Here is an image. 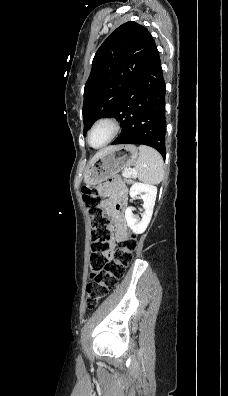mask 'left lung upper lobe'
I'll list each match as a JSON object with an SVG mask.
<instances>
[{
    "label": "left lung upper lobe",
    "mask_w": 228,
    "mask_h": 396,
    "mask_svg": "<svg viewBox=\"0 0 228 396\" xmlns=\"http://www.w3.org/2000/svg\"><path fill=\"white\" fill-rule=\"evenodd\" d=\"M155 42L136 22L119 26L96 52L85 84L84 132L102 117H114L129 88L143 70Z\"/></svg>",
    "instance_id": "1"
}]
</instances>
